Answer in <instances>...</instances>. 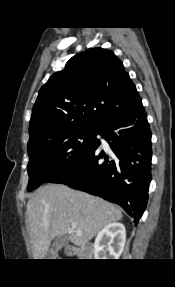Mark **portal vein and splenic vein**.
Instances as JSON below:
<instances>
[{"label": "portal vein and splenic vein", "mask_w": 175, "mask_h": 287, "mask_svg": "<svg viewBox=\"0 0 175 287\" xmlns=\"http://www.w3.org/2000/svg\"><path fill=\"white\" fill-rule=\"evenodd\" d=\"M76 226L75 225H72V229H74Z\"/></svg>", "instance_id": "obj_1"}]
</instances>
